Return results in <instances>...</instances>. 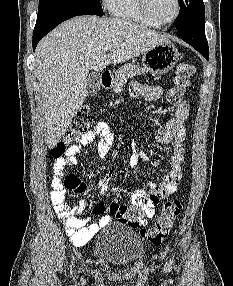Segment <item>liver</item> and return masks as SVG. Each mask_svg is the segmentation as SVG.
I'll return each instance as SVG.
<instances>
[{"mask_svg":"<svg viewBox=\"0 0 233 286\" xmlns=\"http://www.w3.org/2000/svg\"><path fill=\"white\" fill-rule=\"evenodd\" d=\"M165 41L166 35L134 21L96 16L72 18L43 38L36 49V77L43 90L48 148L59 143L80 110L90 70L123 63Z\"/></svg>","mask_w":233,"mask_h":286,"instance_id":"liver-1","label":"liver"}]
</instances>
